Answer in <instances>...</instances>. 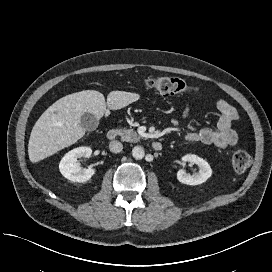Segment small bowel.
<instances>
[{
  "label": "small bowel",
  "mask_w": 272,
  "mask_h": 272,
  "mask_svg": "<svg viewBox=\"0 0 272 272\" xmlns=\"http://www.w3.org/2000/svg\"><path fill=\"white\" fill-rule=\"evenodd\" d=\"M220 112V118L216 129L203 128L201 130H187L185 139L189 142H201L214 145L219 148L234 146L238 141V135L232 128V123L239 118L237 110L223 99L216 102ZM182 117L187 119L190 113V106L185 104L181 110Z\"/></svg>",
  "instance_id": "obj_1"
}]
</instances>
